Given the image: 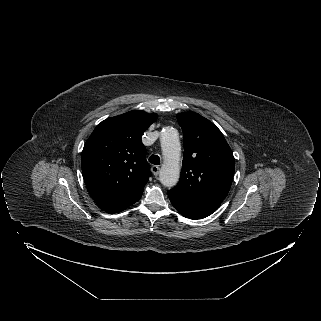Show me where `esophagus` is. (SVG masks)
<instances>
[{
	"mask_svg": "<svg viewBox=\"0 0 321 321\" xmlns=\"http://www.w3.org/2000/svg\"><path fill=\"white\" fill-rule=\"evenodd\" d=\"M151 171H152V173L154 174V176H158L159 175V172H160V167L159 166H157V165H153L152 167H151Z\"/></svg>",
	"mask_w": 321,
	"mask_h": 321,
	"instance_id": "34e87169",
	"label": "esophagus"
}]
</instances>
